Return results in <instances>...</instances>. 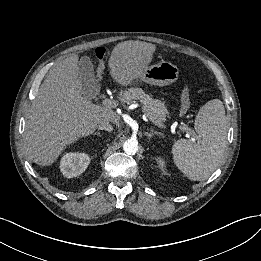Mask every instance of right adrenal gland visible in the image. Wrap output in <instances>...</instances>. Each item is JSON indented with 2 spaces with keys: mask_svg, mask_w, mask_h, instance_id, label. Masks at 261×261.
<instances>
[{
  "mask_svg": "<svg viewBox=\"0 0 261 261\" xmlns=\"http://www.w3.org/2000/svg\"><path fill=\"white\" fill-rule=\"evenodd\" d=\"M93 135H98L101 137V134L99 132H95Z\"/></svg>",
  "mask_w": 261,
  "mask_h": 261,
  "instance_id": "right-adrenal-gland-1",
  "label": "right adrenal gland"
}]
</instances>
